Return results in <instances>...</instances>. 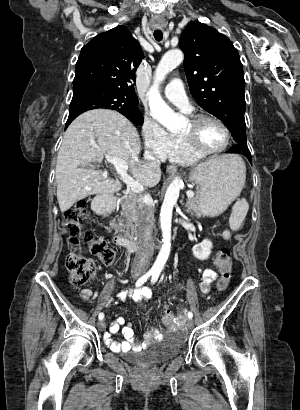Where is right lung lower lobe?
I'll return each instance as SVG.
<instances>
[{"label": "right lung lower lobe", "instance_id": "1", "mask_svg": "<svg viewBox=\"0 0 300 410\" xmlns=\"http://www.w3.org/2000/svg\"><path fill=\"white\" fill-rule=\"evenodd\" d=\"M70 123H71V121H70V122H67L66 126H68Z\"/></svg>", "mask_w": 300, "mask_h": 410}]
</instances>
